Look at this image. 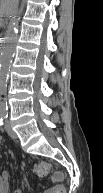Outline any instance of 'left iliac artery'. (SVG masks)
Here are the masks:
<instances>
[{"mask_svg":"<svg viewBox=\"0 0 103 193\" xmlns=\"http://www.w3.org/2000/svg\"><path fill=\"white\" fill-rule=\"evenodd\" d=\"M4 117L7 118V114H4Z\"/></svg>","mask_w":103,"mask_h":193,"instance_id":"obj_1","label":"left iliac artery"}]
</instances>
